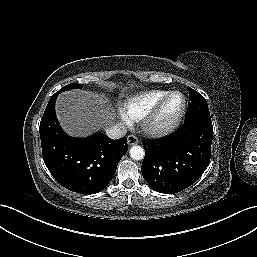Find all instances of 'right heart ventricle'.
<instances>
[{
    "label": "right heart ventricle",
    "mask_w": 257,
    "mask_h": 257,
    "mask_svg": "<svg viewBox=\"0 0 257 257\" xmlns=\"http://www.w3.org/2000/svg\"><path fill=\"white\" fill-rule=\"evenodd\" d=\"M169 92L152 90L128 98L122 107L124 118L129 122L143 119Z\"/></svg>",
    "instance_id": "right-heart-ventricle-1"
}]
</instances>
